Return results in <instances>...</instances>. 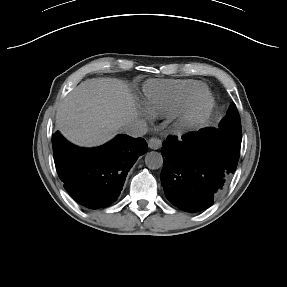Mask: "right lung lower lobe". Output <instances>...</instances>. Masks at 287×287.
<instances>
[{"instance_id": "right-lung-lower-lobe-1", "label": "right lung lower lobe", "mask_w": 287, "mask_h": 287, "mask_svg": "<svg viewBox=\"0 0 287 287\" xmlns=\"http://www.w3.org/2000/svg\"><path fill=\"white\" fill-rule=\"evenodd\" d=\"M54 162L65 190L79 204L107 207L119 196L128 171L148 146L142 138L119 135L96 148H80L58 131L52 136Z\"/></svg>"}]
</instances>
